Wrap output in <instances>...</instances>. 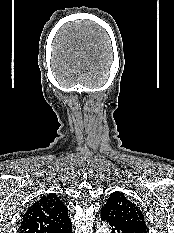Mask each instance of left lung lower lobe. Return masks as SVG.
Masks as SVG:
<instances>
[{"instance_id":"1","label":"left lung lower lobe","mask_w":174,"mask_h":233,"mask_svg":"<svg viewBox=\"0 0 174 233\" xmlns=\"http://www.w3.org/2000/svg\"><path fill=\"white\" fill-rule=\"evenodd\" d=\"M101 220L110 226L111 233H148V229L116 220L103 213L101 208Z\"/></svg>"}]
</instances>
